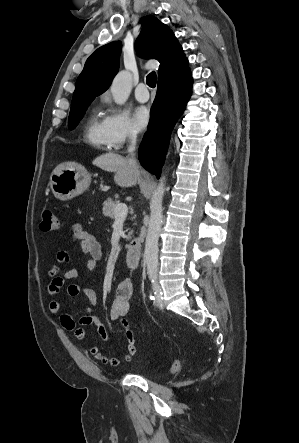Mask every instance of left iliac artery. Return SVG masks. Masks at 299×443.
<instances>
[{"label": "left iliac artery", "mask_w": 299, "mask_h": 443, "mask_svg": "<svg viewBox=\"0 0 299 443\" xmlns=\"http://www.w3.org/2000/svg\"><path fill=\"white\" fill-rule=\"evenodd\" d=\"M149 277L152 282L154 295H155V297H153V300H155V302L158 303L160 300H162V292L160 291V287L157 282V273L151 272Z\"/></svg>", "instance_id": "left-iliac-artery-1"}]
</instances>
